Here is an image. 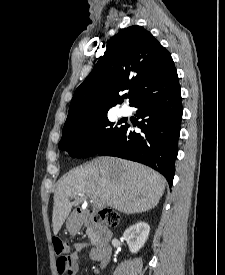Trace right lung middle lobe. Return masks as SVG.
Returning <instances> with one entry per match:
<instances>
[{
  "instance_id": "dd1d6c3e",
  "label": "right lung middle lobe",
  "mask_w": 225,
  "mask_h": 275,
  "mask_svg": "<svg viewBox=\"0 0 225 275\" xmlns=\"http://www.w3.org/2000/svg\"><path fill=\"white\" fill-rule=\"evenodd\" d=\"M118 124L110 122L104 112L68 125L63 128L59 148L67 150L72 157L93 156L123 130L124 126ZM88 139L94 144L85 148Z\"/></svg>"
}]
</instances>
